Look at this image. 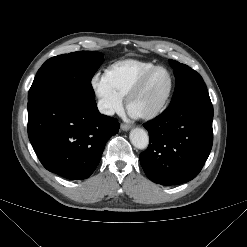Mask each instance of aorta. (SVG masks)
<instances>
[{"label":"aorta","mask_w":247,"mask_h":247,"mask_svg":"<svg viewBox=\"0 0 247 247\" xmlns=\"http://www.w3.org/2000/svg\"><path fill=\"white\" fill-rule=\"evenodd\" d=\"M130 141L137 149H146L149 145L148 133L142 128H134L130 132Z\"/></svg>","instance_id":"1"}]
</instances>
